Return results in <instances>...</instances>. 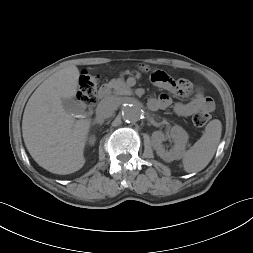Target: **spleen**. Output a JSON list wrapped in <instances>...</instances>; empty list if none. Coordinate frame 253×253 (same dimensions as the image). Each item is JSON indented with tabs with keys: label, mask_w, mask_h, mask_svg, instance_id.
<instances>
[{
	"label": "spleen",
	"mask_w": 253,
	"mask_h": 253,
	"mask_svg": "<svg viewBox=\"0 0 253 253\" xmlns=\"http://www.w3.org/2000/svg\"><path fill=\"white\" fill-rule=\"evenodd\" d=\"M222 124L219 120L210 121L202 137L183 154L184 170L188 173L203 170L212 160L220 142Z\"/></svg>",
	"instance_id": "spleen-1"
}]
</instances>
